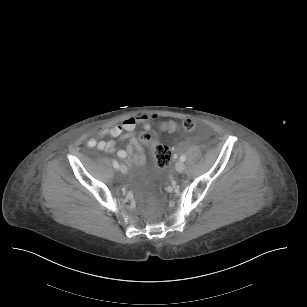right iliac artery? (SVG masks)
<instances>
[{
  "mask_svg": "<svg viewBox=\"0 0 307 307\" xmlns=\"http://www.w3.org/2000/svg\"><path fill=\"white\" fill-rule=\"evenodd\" d=\"M113 166L114 168L118 169L119 168V164L116 160H113Z\"/></svg>",
  "mask_w": 307,
  "mask_h": 307,
  "instance_id": "obj_1",
  "label": "right iliac artery"
}]
</instances>
